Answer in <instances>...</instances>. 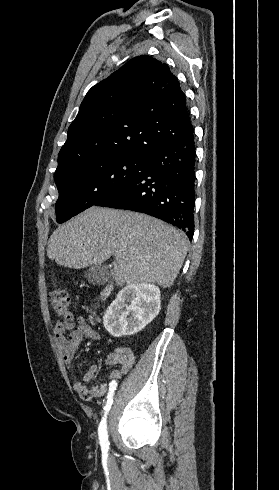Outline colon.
Listing matches in <instances>:
<instances>
[{
    "instance_id": "obj_1",
    "label": "colon",
    "mask_w": 279,
    "mask_h": 490,
    "mask_svg": "<svg viewBox=\"0 0 279 490\" xmlns=\"http://www.w3.org/2000/svg\"><path fill=\"white\" fill-rule=\"evenodd\" d=\"M48 301L53 311L65 320L72 319V309L68 292L63 288H54L48 295Z\"/></svg>"
}]
</instances>
